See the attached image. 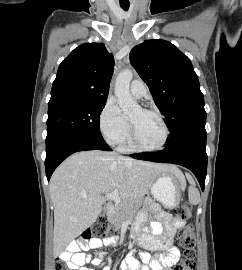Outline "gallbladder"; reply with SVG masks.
Here are the masks:
<instances>
[{"label": "gallbladder", "instance_id": "1", "mask_svg": "<svg viewBox=\"0 0 242 270\" xmlns=\"http://www.w3.org/2000/svg\"><path fill=\"white\" fill-rule=\"evenodd\" d=\"M104 213H105V210H104V209H102V211H101V215H104Z\"/></svg>", "mask_w": 242, "mask_h": 270}]
</instances>
